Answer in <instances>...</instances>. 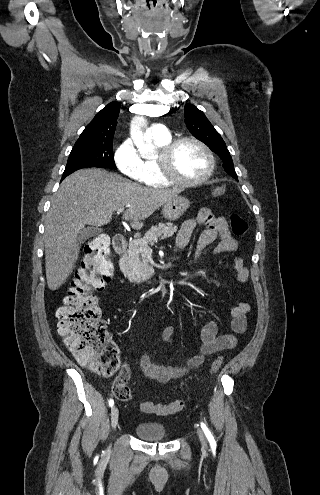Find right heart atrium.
I'll return each mask as SVG.
<instances>
[{
  "label": "right heart atrium",
  "mask_w": 320,
  "mask_h": 495,
  "mask_svg": "<svg viewBox=\"0 0 320 495\" xmlns=\"http://www.w3.org/2000/svg\"><path fill=\"white\" fill-rule=\"evenodd\" d=\"M115 163L122 174L137 182L146 181L143 161L130 139L124 140L114 154Z\"/></svg>",
  "instance_id": "d8ad5b80"
}]
</instances>
